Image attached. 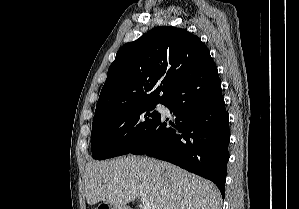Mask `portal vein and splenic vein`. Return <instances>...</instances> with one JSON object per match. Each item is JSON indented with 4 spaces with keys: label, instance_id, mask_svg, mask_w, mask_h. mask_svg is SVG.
<instances>
[{
    "label": "portal vein and splenic vein",
    "instance_id": "18ae733b",
    "mask_svg": "<svg viewBox=\"0 0 299 209\" xmlns=\"http://www.w3.org/2000/svg\"><path fill=\"white\" fill-rule=\"evenodd\" d=\"M140 200L142 202L143 209H156L155 205L149 202L148 199L141 197Z\"/></svg>",
    "mask_w": 299,
    "mask_h": 209
}]
</instances>
